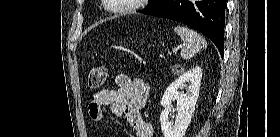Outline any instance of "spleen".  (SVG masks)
Returning a JSON list of instances; mask_svg holds the SVG:
<instances>
[{"instance_id": "spleen-1", "label": "spleen", "mask_w": 280, "mask_h": 137, "mask_svg": "<svg viewBox=\"0 0 280 137\" xmlns=\"http://www.w3.org/2000/svg\"><path fill=\"white\" fill-rule=\"evenodd\" d=\"M174 31L180 36L185 45L181 50L183 59H189L201 49L207 47L206 40L199 33L188 27L176 26Z\"/></svg>"}]
</instances>
